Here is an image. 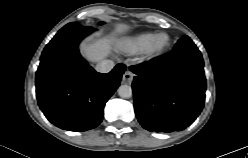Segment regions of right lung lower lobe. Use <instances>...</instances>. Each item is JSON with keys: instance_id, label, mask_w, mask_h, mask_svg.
I'll list each match as a JSON object with an SVG mask.
<instances>
[{"instance_id": "right-lung-lower-lobe-1", "label": "right lung lower lobe", "mask_w": 248, "mask_h": 158, "mask_svg": "<svg viewBox=\"0 0 248 158\" xmlns=\"http://www.w3.org/2000/svg\"><path fill=\"white\" fill-rule=\"evenodd\" d=\"M92 27L61 29L47 44L36 72V96L46 118L68 131L97 127L104 106L120 84L126 67L101 74L80 56L79 42Z\"/></svg>"}]
</instances>
